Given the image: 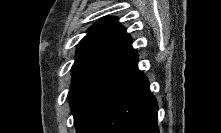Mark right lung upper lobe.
<instances>
[{"mask_svg": "<svg viewBox=\"0 0 221 133\" xmlns=\"http://www.w3.org/2000/svg\"><path fill=\"white\" fill-rule=\"evenodd\" d=\"M137 57L132 39L118 20H99L79 42L72 72L76 74L104 73L112 67Z\"/></svg>", "mask_w": 221, "mask_h": 133, "instance_id": "1", "label": "right lung upper lobe"}]
</instances>
